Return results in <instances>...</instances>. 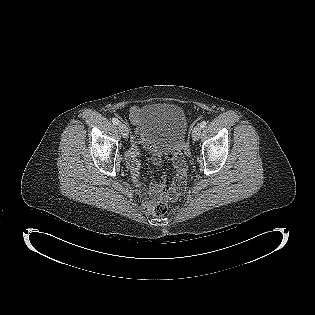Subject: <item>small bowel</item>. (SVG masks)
Listing matches in <instances>:
<instances>
[{"label": "small bowel", "instance_id": "c3829d8e", "mask_svg": "<svg viewBox=\"0 0 315 315\" xmlns=\"http://www.w3.org/2000/svg\"><path fill=\"white\" fill-rule=\"evenodd\" d=\"M138 116V108L133 107L130 111V117L132 121H136ZM139 140V138L137 137ZM169 158L172 159L173 164L177 171L182 172L186 168V161L182 157L181 153L178 151L171 150L168 153ZM162 153L155 152L152 156V162L156 165L162 162ZM127 162L132 174L133 182L137 188L139 195L147 200L156 195H158L165 186L166 177L163 176L159 182H155L146 186L141 175V164L138 160V151L136 149H131L127 154ZM167 177L169 179H174L176 177V172L174 170H169L167 172Z\"/></svg>", "mask_w": 315, "mask_h": 315}]
</instances>
